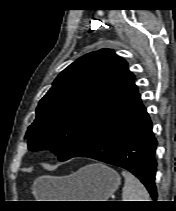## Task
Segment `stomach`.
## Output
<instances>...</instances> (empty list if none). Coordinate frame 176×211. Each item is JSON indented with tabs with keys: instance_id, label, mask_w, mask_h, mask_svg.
<instances>
[{
	"instance_id": "obj_1",
	"label": "stomach",
	"mask_w": 176,
	"mask_h": 211,
	"mask_svg": "<svg viewBox=\"0 0 176 211\" xmlns=\"http://www.w3.org/2000/svg\"><path fill=\"white\" fill-rule=\"evenodd\" d=\"M121 183L119 174L101 164H90L69 176H43L35 184L45 201H107Z\"/></svg>"
}]
</instances>
